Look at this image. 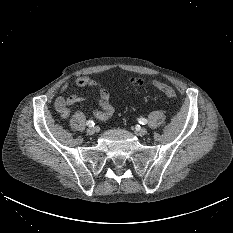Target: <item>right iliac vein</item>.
Instances as JSON below:
<instances>
[{
    "label": "right iliac vein",
    "instance_id": "63e3f726",
    "mask_svg": "<svg viewBox=\"0 0 233 233\" xmlns=\"http://www.w3.org/2000/svg\"><path fill=\"white\" fill-rule=\"evenodd\" d=\"M87 134L88 135H94L96 133V128L94 127H89L87 130H86Z\"/></svg>",
    "mask_w": 233,
    "mask_h": 233
}]
</instances>
